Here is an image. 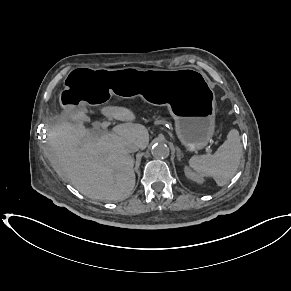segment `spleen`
<instances>
[{"label": "spleen", "mask_w": 291, "mask_h": 291, "mask_svg": "<svg viewBox=\"0 0 291 291\" xmlns=\"http://www.w3.org/2000/svg\"><path fill=\"white\" fill-rule=\"evenodd\" d=\"M242 156L239 132L232 129L227 135V140L213 155L192 156L189 166L200 176L212 177L218 186H224L236 174Z\"/></svg>", "instance_id": "1"}]
</instances>
